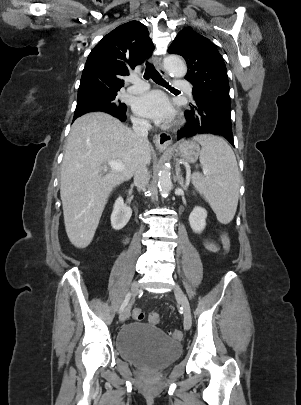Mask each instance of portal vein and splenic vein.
<instances>
[{"label":"portal vein and splenic vein","instance_id":"18ae733b","mask_svg":"<svg viewBox=\"0 0 301 405\" xmlns=\"http://www.w3.org/2000/svg\"><path fill=\"white\" fill-rule=\"evenodd\" d=\"M108 165L111 167L112 170L117 172H121L124 169V166L120 160H112L108 162ZM189 180V177H188Z\"/></svg>","mask_w":301,"mask_h":405}]
</instances>
